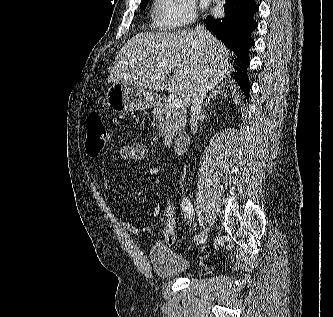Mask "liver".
<instances>
[{"label":"liver","instance_id":"1","mask_svg":"<svg viewBox=\"0 0 333 317\" xmlns=\"http://www.w3.org/2000/svg\"><path fill=\"white\" fill-rule=\"evenodd\" d=\"M229 56L210 32L202 37L196 30L139 33L117 53L109 82L129 80L153 91L165 88L189 107L199 81L207 80L210 89L223 85L231 73Z\"/></svg>","mask_w":333,"mask_h":317}]
</instances>
